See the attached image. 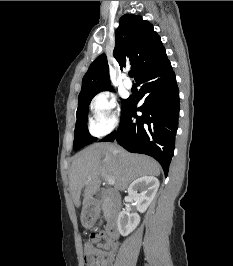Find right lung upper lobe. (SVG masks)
<instances>
[{"instance_id":"obj_1","label":"right lung upper lobe","mask_w":233,"mask_h":266,"mask_svg":"<svg viewBox=\"0 0 233 266\" xmlns=\"http://www.w3.org/2000/svg\"><path fill=\"white\" fill-rule=\"evenodd\" d=\"M115 41L114 58L121 67L131 65L136 80L166 56L160 36L153 30V25L136 15L125 14L120 18ZM110 84L107 57L101 54L83 77L79 99L111 90Z\"/></svg>"}]
</instances>
